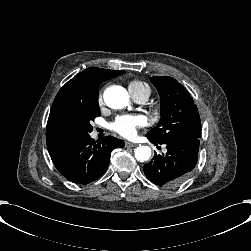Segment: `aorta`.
I'll return each instance as SVG.
<instances>
[{
	"label": "aorta",
	"instance_id": "762f6f07",
	"mask_svg": "<svg viewBox=\"0 0 251 251\" xmlns=\"http://www.w3.org/2000/svg\"><path fill=\"white\" fill-rule=\"evenodd\" d=\"M104 101L112 109H123L129 105V94L121 86H111L104 91ZM134 152L135 158L140 162H145L151 157L149 146H139Z\"/></svg>",
	"mask_w": 251,
	"mask_h": 251
}]
</instances>
